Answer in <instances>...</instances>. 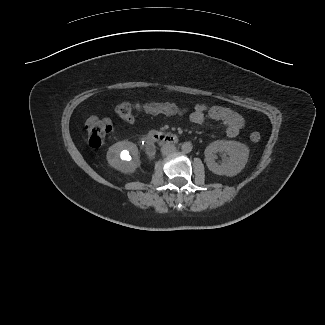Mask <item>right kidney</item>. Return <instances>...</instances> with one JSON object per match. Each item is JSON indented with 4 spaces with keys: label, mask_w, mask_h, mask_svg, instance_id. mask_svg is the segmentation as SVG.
<instances>
[{
    "label": "right kidney",
    "mask_w": 325,
    "mask_h": 325,
    "mask_svg": "<svg viewBox=\"0 0 325 325\" xmlns=\"http://www.w3.org/2000/svg\"><path fill=\"white\" fill-rule=\"evenodd\" d=\"M107 160L122 173H133L139 165L138 148L130 141H119L108 149Z\"/></svg>",
    "instance_id": "1"
}]
</instances>
